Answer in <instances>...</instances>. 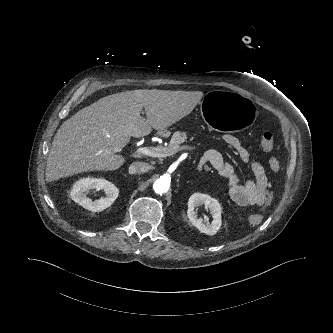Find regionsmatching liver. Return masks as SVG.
<instances>
[{
  "mask_svg": "<svg viewBox=\"0 0 333 333\" xmlns=\"http://www.w3.org/2000/svg\"><path fill=\"white\" fill-rule=\"evenodd\" d=\"M201 91L131 90L103 97L67 119L54 136L46 180L51 182L86 171L120 168L117 154L131 136L163 131L188 115ZM144 108L146 119L140 113Z\"/></svg>",
  "mask_w": 333,
  "mask_h": 333,
  "instance_id": "liver-1",
  "label": "liver"
}]
</instances>
